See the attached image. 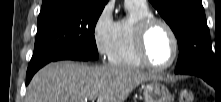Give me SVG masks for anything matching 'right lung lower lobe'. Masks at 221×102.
<instances>
[{"mask_svg": "<svg viewBox=\"0 0 221 102\" xmlns=\"http://www.w3.org/2000/svg\"><path fill=\"white\" fill-rule=\"evenodd\" d=\"M61 60H77V61H87L90 60V58H87L85 56H81V55H67L64 58H62ZM39 69L35 70V71H31V72H27L26 75V84H28L31 80V78L33 77V75L38 71Z\"/></svg>", "mask_w": 221, "mask_h": 102, "instance_id": "right-lung-lower-lobe-1", "label": "right lung lower lobe"}]
</instances>
